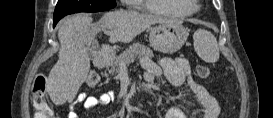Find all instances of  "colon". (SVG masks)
<instances>
[{"instance_id": "1", "label": "colon", "mask_w": 273, "mask_h": 118, "mask_svg": "<svg viewBox=\"0 0 273 118\" xmlns=\"http://www.w3.org/2000/svg\"><path fill=\"white\" fill-rule=\"evenodd\" d=\"M200 78L206 79L210 76L211 71L205 65H198L196 68ZM99 82V75L95 72L88 74L86 78V86L88 88L95 87ZM47 81L44 76H37L33 82L32 97L36 108V118H54L55 114L49 104V97L46 91Z\"/></svg>"}]
</instances>
